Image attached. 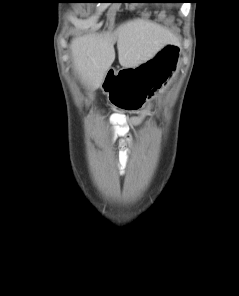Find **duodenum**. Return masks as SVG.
I'll use <instances>...</instances> for the list:
<instances>
[{"mask_svg": "<svg viewBox=\"0 0 239 296\" xmlns=\"http://www.w3.org/2000/svg\"><path fill=\"white\" fill-rule=\"evenodd\" d=\"M117 75V71L114 69L109 70L108 75H107V79L108 80H113L115 78V76Z\"/></svg>", "mask_w": 239, "mask_h": 296, "instance_id": "1", "label": "duodenum"}]
</instances>
